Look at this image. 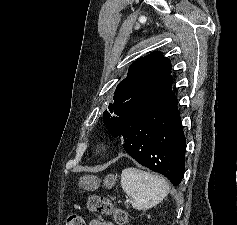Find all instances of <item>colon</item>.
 <instances>
[{"instance_id": "5ec220e1", "label": "colon", "mask_w": 237, "mask_h": 225, "mask_svg": "<svg viewBox=\"0 0 237 225\" xmlns=\"http://www.w3.org/2000/svg\"><path fill=\"white\" fill-rule=\"evenodd\" d=\"M88 210L101 215L112 216L117 225H129L128 213L116 207L112 201L104 196L93 195L87 201ZM66 225H84L83 218L75 213H71L66 218Z\"/></svg>"}]
</instances>
